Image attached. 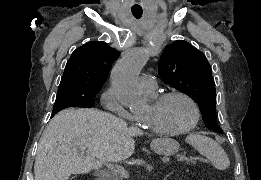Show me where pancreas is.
I'll return each instance as SVG.
<instances>
[{
    "label": "pancreas",
    "mask_w": 261,
    "mask_h": 180,
    "mask_svg": "<svg viewBox=\"0 0 261 180\" xmlns=\"http://www.w3.org/2000/svg\"><path fill=\"white\" fill-rule=\"evenodd\" d=\"M186 164H190V167H195V164H196L195 158H188V161L186 162Z\"/></svg>",
    "instance_id": "obj_1"
}]
</instances>
